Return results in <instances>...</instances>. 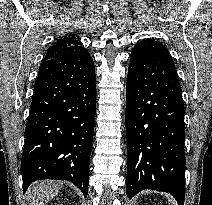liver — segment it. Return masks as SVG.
I'll return each instance as SVG.
<instances>
[{"label": "liver", "mask_w": 212, "mask_h": 205, "mask_svg": "<svg viewBox=\"0 0 212 205\" xmlns=\"http://www.w3.org/2000/svg\"><path fill=\"white\" fill-rule=\"evenodd\" d=\"M60 181H39L32 184L27 191V200L30 205H44L53 199L61 190Z\"/></svg>", "instance_id": "obj_1"}]
</instances>
